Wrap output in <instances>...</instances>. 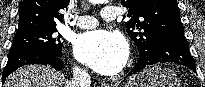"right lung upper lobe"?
<instances>
[{
  "instance_id": "obj_1",
  "label": "right lung upper lobe",
  "mask_w": 205,
  "mask_h": 87,
  "mask_svg": "<svg viewBox=\"0 0 205 87\" xmlns=\"http://www.w3.org/2000/svg\"><path fill=\"white\" fill-rule=\"evenodd\" d=\"M70 0H23L19 4L18 30L56 28L64 17L59 11L68 6Z\"/></svg>"
}]
</instances>
